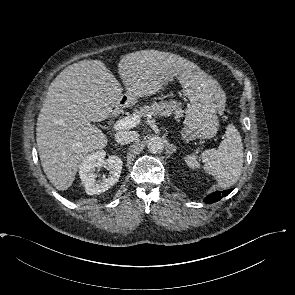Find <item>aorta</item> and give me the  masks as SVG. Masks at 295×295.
Listing matches in <instances>:
<instances>
[{
    "label": "aorta",
    "mask_w": 295,
    "mask_h": 295,
    "mask_svg": "<svg viewBox=\"0 0 295 295\" xmlns=\"http://www.w3.org/2000/svg\"><path fill=\"white\" fill-rule=\"evenodd\" d=\"M147 148L151 153H160L164 148V141L159 136H153L148 140Z\"/></svg>",
    "instance_id": "1"
}]
</instances>
